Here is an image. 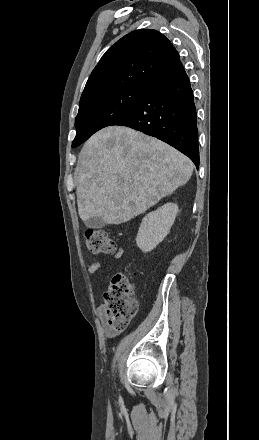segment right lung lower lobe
<instances>
[{
	"instance_id": "1",
	"label": "right lung lower lobe",
	"mask_w": 259,
	"mask_h": 440,
	"mask_svg": "<svg viewBox=\"0 0 259 440\" xmlns=\"http://www.w3.org/2000/svg\"><path fill=\"white\" fill-rule=\"evenodd\" d=\"M193 91L181 62L146 90L139 102L111 125L156 137L188 156L199 168Z\"/></svg>"
}]
</instances>
